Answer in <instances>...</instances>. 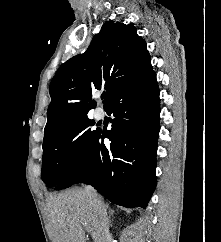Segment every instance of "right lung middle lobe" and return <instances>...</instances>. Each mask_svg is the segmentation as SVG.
Here are the masks:
<instances>
[{
  "mask_svg": "<svg viewBox=\"0 0 221 242\" xmlns=\"http://www.w3.org/2000/svg\"><path fill=\"white\" fill-rule=\"evenodd\" d=\"M93 121L78 118L43 140L42 180L48 187L57 185L81 159L99 130H91Z\"/></svg>",
  "mask_w": 221,
  "mask_h": 242,
  "instance_id": "1",
  "label": "right lung middle lobe"
}]
</instances>
